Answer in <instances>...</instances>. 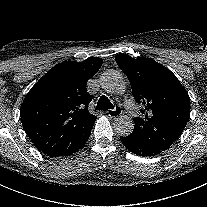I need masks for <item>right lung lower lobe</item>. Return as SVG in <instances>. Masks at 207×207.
I'll list each match as a JSON object with an SVG mask.
<instances>
[{"mask_svg":"<svg viewBox=\"0 0 207 207\" xmlns=\"http://www.w3.org/2000/svg\"><path fill=\"white\" fill-rule=\"evenodd\" d=\"M90 132L88 133V135L86 136V138L75 148V150L73 152H71L70 154L64 155V156L71 155V154L75 153L76 151H78L80 148H82L86 144V142H87V140H88V138L90 136Z\"/></svg>","mask_w":207,"mask_h":207,"instance_id":"right-lung-lower-lobe-1","label":"right lung lower lobe"}]
</instances>
